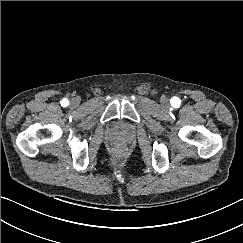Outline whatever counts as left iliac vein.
<instances>
[{
    "mask_svg": "<svg viewBox=\"0 0 243 243\" xmlns=\"http://www.w3.org/2000/svg\"><path fill=\"white\" fill-rule=\"evenodd\" d=\"M161 102H162V104L165 105V106L168 105V99H167V98H162V99H161Z\"/></svg>",
    "mask_w": 243,
    "mask_h": 243,
    "instance_id": "1",
    "label": "left iliac vein"
}]
</instances>
